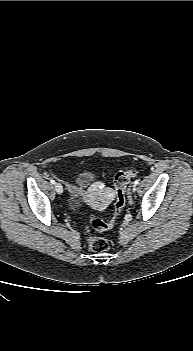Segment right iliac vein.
<instances>
[{"label": "right iliac vein", "mask_w": 193, "mask_h": 351, "mask_svg": "<svg viewBox=\"0 0 193 351\" xmlns=\"http://www.w3.org/2000/svg\"><path fill=\"white\" fill-rule=\"evenodd\" d=\"M55 190L58 194H62L63 193V187L60 183H55Z\"/></svg>", "instance_id": "63e3f726"}]
</instances>
